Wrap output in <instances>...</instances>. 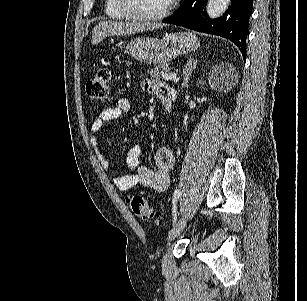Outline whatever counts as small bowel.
Listing matches in <instances>:
<instances>
[{
  "label": "small bowel",
  "mask_w": 307,
  "mask_h": 301,
  "mask_svg": "<svg viewBox=\"0 0 307 301\" xmlns=\"http://www.w3.org/2000/svg\"><path fill=\"white\" fill-rule=\"evenodd\" d=\"M145 90L161 96L169 91L167 85L158 81H145L143 83ZM130 110L128 100L122 98L115 104L107 107L100 112L94 119L91 126V142L95 146L97 158L103 168L109 167V160L102 149L99 147V139L104 126L125 115ZM156 169H150L141 162V146L135 145L127 153L126 164L130 169L127 175H118L113 178L116 187L122 191L129 190L136 185H141L153 189L156 192H164L169 187V171L174 167L175 156L171 148L162 147L156 154Z\"/></svg>",
  "instance_id": "1"
}]
</instances>
